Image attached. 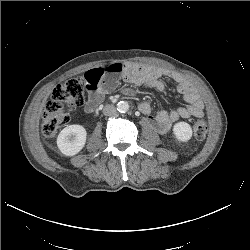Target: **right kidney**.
<instances>
[{
  "mask_svg": "<svg viewBox=\"0 0 250 250\" xmlns=\"http://www.w3.org/2000/svg\"><path fill=\"white\" fill-rule=\"evenodd\" d=\"M87 132L81 125L65 127L57 137V146L62 154L73 156L79 153L86 143Z\"/></svg>",
  "mask_w": 250,
  "mask_h": 250,
  "instance_id": "obj_1",
  "label": "right kidney"
}]
</instances>
